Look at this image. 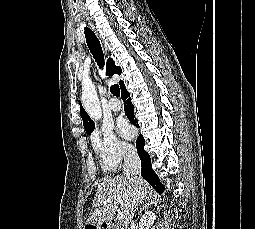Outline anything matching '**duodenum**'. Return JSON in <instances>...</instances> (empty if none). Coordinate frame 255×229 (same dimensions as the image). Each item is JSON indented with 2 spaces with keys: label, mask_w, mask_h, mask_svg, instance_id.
Segmentation results:
<instances>
[{
  "label": "duodenum",
  "mask_w": 255,
  "mask_h": 229,
  "mask_svg": "<svg viewBox=\"0 0 255 229\" xmlns=\"http://www.w3.org/2000/svg\"><path fill=\"white\" fill-rule=\"evenodd\" d=\"M91 229H95V228H91ZM97 229H120L117 225H114L112 223H100L97 226Z\"/></svg>",
  "instance_id": "410a0bca"
}]
</instances>
